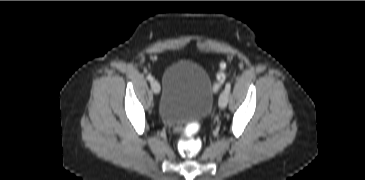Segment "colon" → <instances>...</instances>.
<instances>
[{"mask_svg": "<svg viewBox=\"0 0 365 180\" xmlns=\"http://www.w3.org/2000/svg\"><path fill=\"white\" fill-rule=\"evenodd\" d=\"M225 78L223 67L221 66L215 89H218ZM200 125L198 123H190L183 131L178 141L177 147L179 153L185 158H193L197 156L202 149V140L199 136Z\"/></svg>", "mask_w": 365, "mask_h": 180, "instance_id": "1", "label": "colon"}]
</instances>
